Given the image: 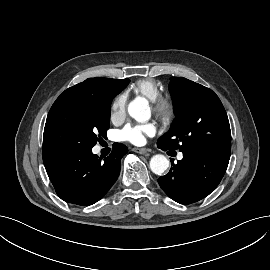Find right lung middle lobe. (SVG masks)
I'll list each match as a JSON object with an SVG mask.
<instances>
[{"label":"right lung middle lobe","instance_id":"1","mask_svg":"<svg viewBox=\"0 0 270 270\" xmlns=\"http://www.w3.org/2000/svg\"><path fill=\"white\" fill-rule=\"evenodd\" d=\"M123 84L108 97L82 96L56 100L45 124L43 149H92L109 129L112 99L129 83Z\"/></svg>","mask_w":270,"mask_h":270}]
</instances>
